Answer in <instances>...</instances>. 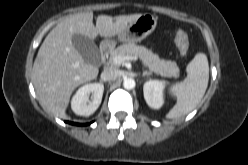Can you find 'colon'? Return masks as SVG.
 <instances>
[{
	"instance_id": "colon-1",
	"label": "colon",
	"mask_w": 248,
	"mask_h": 165,
	"mask_svg": "<svg viewBox=\"0 0 248 165\" xmlns=\"http://www.w3.org/2000/svg\"><path fill=\"white\" fill-rule=\"evenodd\" d=\"M175 44L180 54L185 55L190 48V41L188 34L183 30H177L175 33Z\"/></svg>"
}]
</instances>
